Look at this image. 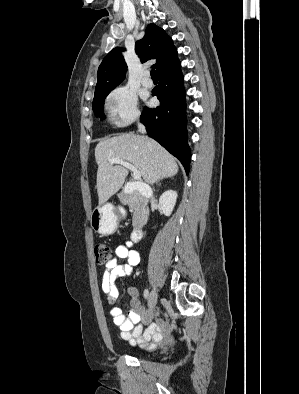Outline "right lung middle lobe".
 Segmentation results:
<instances>
[{
    "mask_svg": "<svg viewBox=\"0 0 299 394\" xmlns=\"http://www.w3.org/2000/svg\"><path fill=\"white\" fill-rule=\"evenodd\" d=\"M110 90H103L100 92L95 93L94 99H93V111L95 115L100 117V119H105L104 115V99L106 96L110 93Z\"/></svg>",
    "mask_w": 299,
    "mask_h": 394,
    "instance_id": "1",
    "label": "right lung middle lobe"
}]
</instances>
